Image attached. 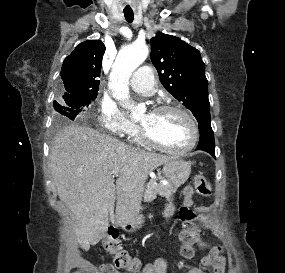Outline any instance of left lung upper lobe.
<instances>
[{
  "label": "left lung upper lobe",
  "mask_w": 285,
  "mask_h": 273,
  "mask_svg": "<svg viewBox=\"0 0 285 273\" xmlns=\"http://www.w3.org/2000/svg\"><path fill=\"white\" fill-rule=\"evenodd\" d=\"M150 42L151 61L166 90L192 111L198 123L210 120L208 81L199 51L164 33H158Z\"/></svg>",
  "instance_id": "5c2ea615"
}]
</instances>
